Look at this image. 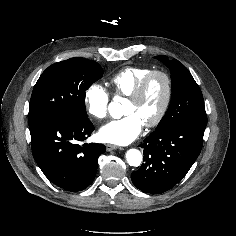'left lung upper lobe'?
Listing matches in <instances>:
<instances>
[{
    "label": "left lung upper lobe",
    "instance_id": "5c2ea615",
    "mask_svg": "<svg viewBox=\"0 0 236 236\" xmlns=\"http://www.w3.org/2000/svg\"><path fill=\"white\" fill-rule=\"evenodd\" d=\"M170 68L172 96L169 108L155 130L178 124L207 125V115L202 92L189 70L178 60L157 56Z\"/></svg>",
    "mask_w": 236,
    "mask_h": 236
}]
</instances>
